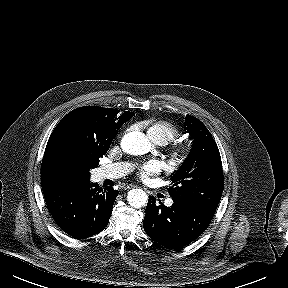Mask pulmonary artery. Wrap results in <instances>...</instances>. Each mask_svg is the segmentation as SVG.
<instances>
[{"instance_id":"e3ab8cb5","label":"pulmonary artery","mask_w":288,"mask_h":288,"mask_svg":"<svg viewBox=\"0 0 288 288\" xmlns=\"http://www.w3.org/2000/svg\"><path fill=\"white\" fill-rule=\"evenodd\" d=\"M130 168H131L130 165L127 163H113L103 165L97 170L96 177L98 180L119 178L125 175L130 170ZM172 204H173L172 199L166 200L167 206H171Z\"/></svg>"}]
</instances>
